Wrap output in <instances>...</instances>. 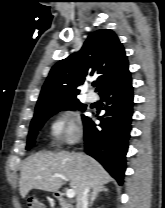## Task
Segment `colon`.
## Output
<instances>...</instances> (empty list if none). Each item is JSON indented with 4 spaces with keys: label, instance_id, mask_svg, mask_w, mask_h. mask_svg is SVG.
<instances>
[{
    "label": "colon",
    "instance_id": "1",
    "mask_svg": "<svg viewBox=\"0 0 165 208\" xmlns=\"http://www.w3.org/2000/svg\"><path fill=\"white\" fill-rule=\"evenodd\" d=\"M28 207L29 208H44L43 204L40 201H38L37 199H31L28 202Z\"/></svg>",
    "mask_w": 165,
    "mask_h": 208
}]
</instances>
